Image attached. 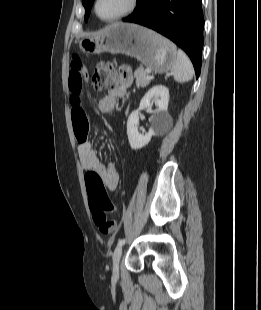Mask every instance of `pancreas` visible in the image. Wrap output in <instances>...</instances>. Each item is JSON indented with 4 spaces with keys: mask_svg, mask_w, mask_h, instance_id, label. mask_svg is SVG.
Returning a JSON list of instances; mask_svg holds the SVG:
<instances>
[{
    "mask_svg": "<svg viewBox=\"0 0 261 310\" xmlns=\"http://www.w3.org/2000/svg\"><path fill=\"white\" fill-rule=\"evenodd\" d=\"M134 77L136 80V86L137 87H146L150 80L147 79V72L144 70L143 67H139L135 73H134Z\"/></svg>",
    "mask_w": 261,
    "mask_h": 310,
    "instance_id": "obj_1",
    "label": "pancreas"
}]
</instances>
